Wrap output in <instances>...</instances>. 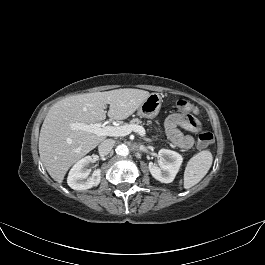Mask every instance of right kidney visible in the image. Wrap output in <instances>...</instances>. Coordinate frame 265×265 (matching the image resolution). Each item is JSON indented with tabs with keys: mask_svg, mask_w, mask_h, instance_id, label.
<instances>
[{
	"mask_svg": "<svg viewBox=\"0 0 265 265\" xmlns=\"http://www.w3.org/2000/svg\"><path fill=\"white\" fill-rule=\"evenodd\" d=\"M93 162L92 156H86L80 159L71 168L67 183L74 190H86L94 186H98L101 181V170L96 169L91 177H88L91 169L88 168L89 164Z\"/></svg>",
	"mask_w": 265,
	"mask_h": 265,
	"instance_id": "ca27d5eb",
	"label": "right kidney"
}]
</instances>
